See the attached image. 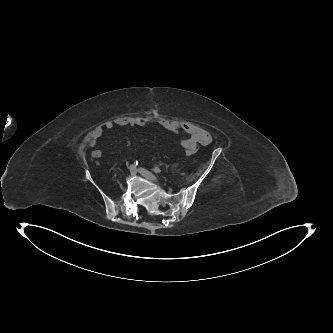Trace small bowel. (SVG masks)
<instances>
[{
	"label": "small bowel",
	"instance_id": "obj_1",
	"mask_svg": "<svg viewBox=\"0 0 333 333\" xmlns=\"http://www.w3.org/2000/svg\"><path fill=\"white\" fill-rule=\"evenodd\" d=\"M147 124V121L143 118L124 117L119 118L116 121H108L105 123L107 129H112L114 126H140L143 127ZM160 125L167 131L172 133H178L180 131L186 134V137L180 141V145L184 150H194L196 146L208 145L212 142L211 134L200 126L191 122H178L170 119H163L160 121ZM103 130L101 127L94 129L89 137L88 144L90 147H94L97 144L98 139L102 136ZM102 152L98 149L92 151V157L100 158Z\"/></svg>",
	"mask_w": 333,
	"mask_h": 333
}]
</instances>
